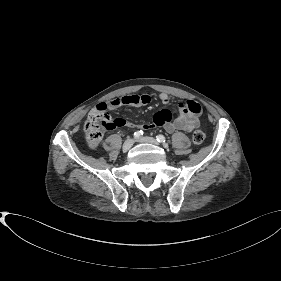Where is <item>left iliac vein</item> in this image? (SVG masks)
<instances>
[{
    "label": "left iliac vein",
    "mask_w": 281,
    "mask_h": 281,
    "mask_svg": "<svg viewBox=\"0 0 281 281\" xmlns=\"http://www.w3.org/2000/svg\"><path fill=\"white\" fill-rule=\"evenodd\" d=\"M137 141L142 143H151V144L158 145V142L155 138L148 137V136L140 137L137 139Z\"/></svg>",
    "instance_id": "4c4485c4"
}]
</instances>
